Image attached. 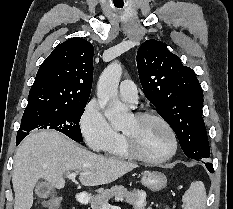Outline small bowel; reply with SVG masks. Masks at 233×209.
Instances as JSON below:
<instances>
[{"mask_svg":"<svg viewBox=\"0 0 233 209\" xmlns=\"http://www.w3.org/2000/svg\"><path fill=\"white\" fill-rule=\"evenodd\" d=\"M146 209H153L152 207H147Z\"/></svg>","mask_w":233,"mask_h":209,"instance_id":"small-bowel-1","label":"small bowel"}]
</instances>
